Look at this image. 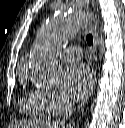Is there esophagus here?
I'll use <instances>...</instances> for the list:
<instances>
[{
	"label": "esophagus",
	"instance_id": "esophagus-1",
	"mask_svg": "<svg viewBox=\"0 0 125 128\" xmlns=\"http://www.w3.org/2000/svg\"><path fill=\"white\" fill-rule=\"evenodd\" d=\"M93 5H94V3H93ZM91 31H92L93 39H94L92 50H93V53L95 54L97 51V45H98V22H97V19H94V21L91 25ZM95 83H96V75H94V77H93V84L91 86V92L93 91V87L95 86ZM87 100H88V97L85 98L84 101L82 102L81 108L84 107V105L87 103Z\"/></svg>",
	"mask_w": 125,
	"mask_h": 128
}]
</instances>
